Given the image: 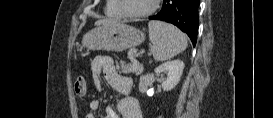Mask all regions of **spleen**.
<instances>
[{"label": "spleen", "mask_w": 273, "mask_h": 118, "mask_svg": "<svg viewBox=\"0 0 273 118\" xmlns=\"http://www.w3.org/2000/svg\"><path fill=\"white\" fill-rule=\"evenodd\" d=\"M148 27L156 61L168 60L187 48V37L176 27L160 21H150Z\"/></svg>", "instance_id": "1"}]
</instances>
